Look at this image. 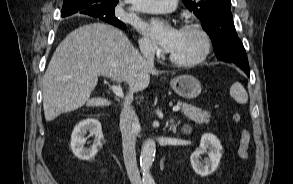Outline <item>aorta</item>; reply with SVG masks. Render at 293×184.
<instances>
[{
  "instance_id": "obj_1",
  "label": "aorta",
  "mask_w": 293,
  "mask_h": 184,
  "mask_svg": "<svg viewBox=\"0 0 293 184\" xmlns=\"http://www.w3.org/2000/svg\"><path fill=\"white\" fill-rule=\"evenodd\" d=\"M155 151L156 144L153 140L148 139L143 143L140 155L143 184H155V181L150 174V168L154 161Z\"/></svg>"
}]
</instances>
